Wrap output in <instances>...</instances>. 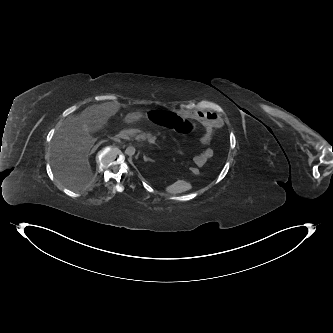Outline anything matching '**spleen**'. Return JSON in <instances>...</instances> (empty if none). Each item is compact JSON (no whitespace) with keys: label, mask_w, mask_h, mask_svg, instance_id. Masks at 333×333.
<instances>
[{"label":"spleen","mask_w":333,"mask_h":333,"mask_svg":"<svg viewBox=\"0 0 333 333\" xmlns=\"http://www.w3.org/2000/svg\"><path fill=\"white\" fill-rule=\"evenodd\" d=\"M191 184L184 181V180H178L175 183L169 185L166 187V191L170 194H178L183 193L185 191H188L191 189Z\"/></svg>","instance_id":"obj_1"}]
</instances>
